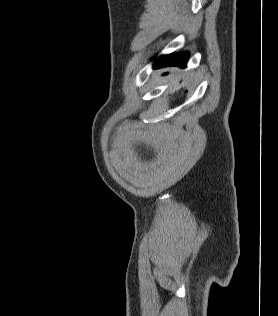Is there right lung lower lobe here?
Wrapping results in <instances>:
<instances>
[{
	"label": "right lung lower lobe",
	"instance_id": "98d812e1",
	"mask_svg": "<svg viewBox=\"0 0 278 316\" xmlns=\"http://www.w3.org/2000/svg\"><path fill=\"white\" fill-rule=\"evenodd\" d=\"M189 53L182 52L178 54H170L167 56H161L155 63L156 68L165 66H180L185 67L188 61Z\"/></svg>",
	"mask_w": 278,
	"mask_h": 316
}]
</instances>
